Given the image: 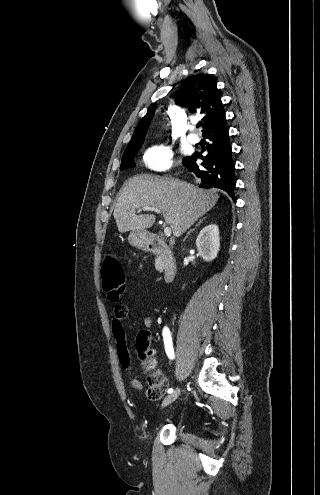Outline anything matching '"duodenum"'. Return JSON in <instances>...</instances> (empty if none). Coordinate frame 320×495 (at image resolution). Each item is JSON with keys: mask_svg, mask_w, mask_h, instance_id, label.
Here are the masks:
<instances>
[{"mask_svg": "<svg viewBox=\"0 0 320 495\" xmlns=\"http://www.w3.org/2000/svg\"><path fill=\"white\" fill-rule=\"evenodd\" d=\"M145 248L161 259L164 280L170 282L175 277L177 265L173 253L166 242L158 235H149L145 239Z\"/></svg>", "mask_w": 320, "mask_h": 495, "instance_id": "410a0bca", "label": "duodenum"}]
</instances>
